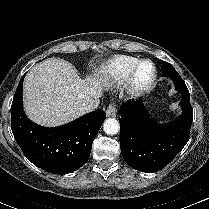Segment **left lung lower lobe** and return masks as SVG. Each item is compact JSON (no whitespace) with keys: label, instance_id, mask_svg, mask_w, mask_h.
Returning a JSON list of instances; mask_svg holds the SVG:
<instances>
[{"label":"left lung lower lobe","instance_id":"left-lung-lower-lobe-1","mask_svg":"<svg viewBox=\"0 0 209 209\" xmlns=\"http://www.w3.org/2000/svg\"><path fill=\"white\" fill-rule=\"evenodd\" d=\"M182 93L183 113L167 124L149 118L141 100L127 101L120 108L121 153L132 168L142 172L163 169L189 140L193 120L190 95L180 75L170 77Z\"/></svg>","mask_w":209,"mask_h":209}]
</instances>
